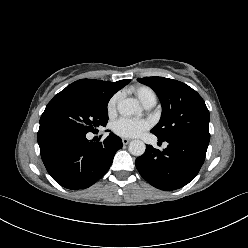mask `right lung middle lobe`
Instances as JSON below:
<instances>
[{
    "label": "right lung middle lobe",
    "instance_id": "right-lung-middle-lobe-1",
    "mask_svg": "<svg viewBox=\"0 0 248 248\" xmlns=\"http://www.w3.org/2000/svg\"><path fill=\"white\" fill-rule=\"evenodd\" d=\"M108 102L85 94L62 90L48 103L41 118L40 127L62 128L78 133L96 132L108 122Z\"/></svg>",
    "mask_w": 248,
    "mask_h": 248
}]
</instances>
